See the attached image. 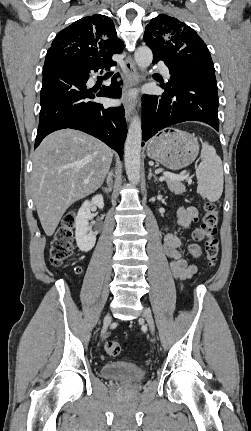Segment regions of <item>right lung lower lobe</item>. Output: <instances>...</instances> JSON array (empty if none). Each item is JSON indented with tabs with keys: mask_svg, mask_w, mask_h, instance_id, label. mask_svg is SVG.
<instances>
[{
	"mask_svg": "<svg viewBox=\"0 0 251 431\" xmlns=\"http://www.w3.org/2000/svg\"><path fill=\"white\" fill-rule=\"evenodd\" d=\"M102 69L99 65L80 64L70 58L44 66L40 94L41 111L35 148L48 134L72 128L86 132L106 143L120 157L127 134L123 106L104 108L92 101L97 97L119 98L121 88L112 78L109 87L99 92L86 88L90 71Z\"/></svg>",
	"mask_w": 251,
	"mask_h": 431,
	"instance_id": "obj_1",
	"label": "right lung lower lobe"
}]
</instances>
